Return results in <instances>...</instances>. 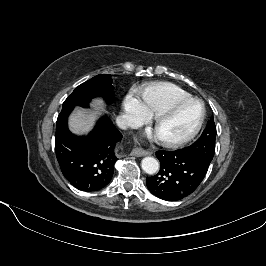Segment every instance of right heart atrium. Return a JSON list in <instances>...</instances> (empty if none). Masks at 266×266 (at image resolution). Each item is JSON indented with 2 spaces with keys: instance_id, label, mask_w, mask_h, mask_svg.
<instances>
[{
  "instance_id": "right-heart-atrium-1",
  "label": "right heart atrium",
  "mask_w": 266,
  "mask_h": 266,
  "mask_svg": "<svg viewBox=\"0 0 266 266\" xmlns=\"http://www.w3.org/2000/svg\"><path fill=\"white\" fill-rule=\"evenodd\" d=\"M123 110L128 126L137 127L150 121L152 115L143 100L135 91H130L124 98Z\"/></svg>"
}]
</instances>
